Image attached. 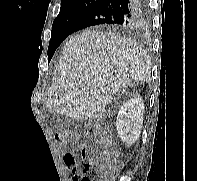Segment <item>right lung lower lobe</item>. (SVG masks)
<instances>
[{"instance_id":"right-lung-lower-lobe-1","label":"right lung lower lobe","mask_w":197,"mask_h":181,"mask_svg":"<svg viewBox=\"0 0 197 181\" xmlns=\"http://www.w3.org/2000/svg\"><path fill=\"white\" fill-rule=\"evenodd\" d=\"M145 1L101 0L78 19L70 34L95 25L140 26L144 22Z\"/></svg>"}]
</instances>
